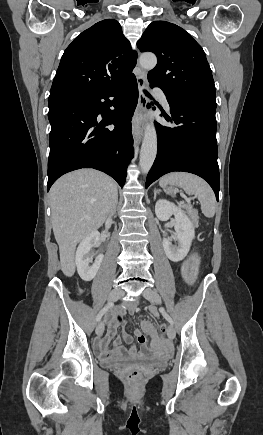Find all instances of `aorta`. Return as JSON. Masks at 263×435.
I'll return each mask as SVG.
<instances>
[{
    "label": "aorta",
    "instance_id": "obj_1",
    "mask_svg": "<svg viewBox=\"0 0 263 435\" xmlns=\"http://www.w3.org/2000/svg\"><path fill=\"white\" fill-rule=\"evenodd\" d=\"M140 65L147 71L152 70L157 64V58L152 53L140 56ZM157 154V134L153 122L147 123L140 151V168L146 174L152 167Z\"/></svg>",
    "mask_w": 263,
    "mask_h": 435
}]
</instances>
